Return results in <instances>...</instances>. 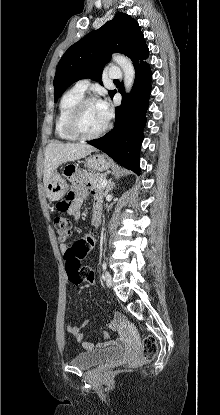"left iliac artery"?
Wrapping results in <instances>:
<instances>
[{"instance_id":"obj_1","label":"left iliac artery","mask_w":220,"mask_h":415,"mask_svg":"<svg viewBox=\"0 0 220 415\" xmlns=\"http://www.w3.org/2000/svg\"><path fill=\"white\" fill-rule=\"evenodd\" d=\"M102 269L105 270L106 269V262H103L102 264Z\"/></svg>"}]
</instances>
